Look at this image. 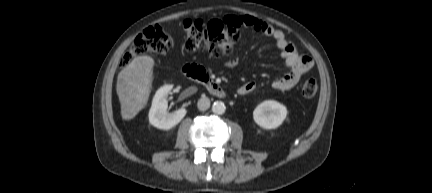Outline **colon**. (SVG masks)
<instances>
[{"mask_svg":"<svg viewBox=\"0 0 432 193\" xmlns=\"http://www.w3.org/2000/svg\"><path fill=\"white\" fill-rule=\"evenodd\" d=\"M183 29L186 50L196 51L204 47L214 57L229 54L239 37L236 26L220 20H211L205 23L198 19H187L183 23ZM173 44V38L160 26H150L136 37L128 51L123 55L121 66H127L133 58L149 52L164 54L173 47ZM317 90V81L310 78L303 83L301 92L305 98H312L316 95Z\"/></svg>","mask_w":432,"mask_h":193,"instance_id":"5ec220e1","label":"colon"}]
</instances>
